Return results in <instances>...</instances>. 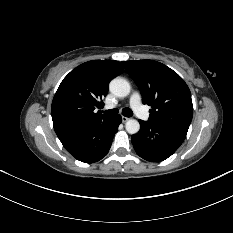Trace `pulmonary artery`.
Returning <instances> with one entry per match:
<instances>
[{
    "instance_id": "obj_1",
    "label": "pulmonary artery",
    "mask_w": 233,
    "mask_h": 233,
    "mask_svg": "<svg viewBox=\"0 0 233 233\" xmlns=\"http://www.w3.org/2000/svg\"><path fill=\"white\" fill-rule=\"evenodd\" d=\"M130 105L133 108V110L135 111V113L142 119H147L148 118V114L147 112L144 110L142 104H141V97L139 95V93L134 92L131 97H130ZM110 108V107H107Z\"/></svg>"
}]
</instances>
